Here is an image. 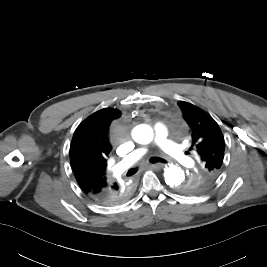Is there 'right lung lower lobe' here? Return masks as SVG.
Here are the masks:
<instances>
[{
    "label": "right lung lower lobe",
    "instance_id": "1",
    "mask_svg": "<svg viewBox=\"0 0 267 267\" xmlns=\"http://www.w3.org/2000/svg\"><path fill=\"white\" fill-rule=\"evenodd\" d=\"M131 193V185H125V187H122L117 184L115 186L103 190L99 194L88 196L101 205L113 206L125 202L130 197Z\"/></svg>",
    "mask_w": 267,
    "mask_h": 267
}]
</instances>
